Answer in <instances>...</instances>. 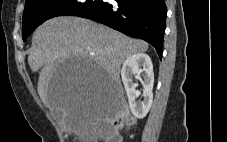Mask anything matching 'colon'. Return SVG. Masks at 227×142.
<instances>
[{
  "label": "colon",
  "instance_id": "5ec220e1",
  "mask_svg": "<svg viewBox=\"0 0 227 142\" xmlns=\"http://www.w3.org/2000/svg\"><path fill=\"white\" fill-rule=\"evenodd\" d=\"M133 118L124 110L120 109L108 118L103 129L105 142H120L119 130L123 125H132Z\"/></svg>",
  "mask_w": 227,
  "mask_h": 142
}]
</instances>
